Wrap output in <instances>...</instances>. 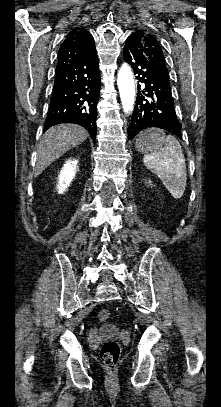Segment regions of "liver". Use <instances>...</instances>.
I'll use <instances>...</instances> for the list:
<instances>
[{
  "mask_svg": "<svg viewBox=\"0 0 221 407\" xmlns=\"http://www.w3.org/2000/svg\"><path fill=\"white\" fill-rule=\"evenodd\" d=\"M87 131L75 124H60L48 129L37 149L35 177L70 149L86 140Z\"/></svg>",
  "mask_w": 221,
  "mask_h": 407,
  "instance_id": "liver-1",
  "label": "liver"
}]
</instances>
